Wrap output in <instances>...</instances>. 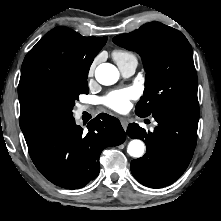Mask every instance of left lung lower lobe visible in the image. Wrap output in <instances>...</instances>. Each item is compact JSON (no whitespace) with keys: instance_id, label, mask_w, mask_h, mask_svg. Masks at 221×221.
<instances>
[{"instance_id":"1","label":"left lung lower lobe","mask_w":221,"mask_h":221,"mask_svg":"<svg viewBox=\"0 0 221 221\" xmlns=\"http://www.w3.org/2000/svg\"><path fill=\"white\" fill-rule=\"evenodd\" d=\"M152 116L158 122L153 132L135 123L127 128L129 137L147 145L146 154L132 160L131 172L144 186L161 188L175 182L188 167L197 142L199 118L163 110H155Z\"/></svg>"}]
</instances>
